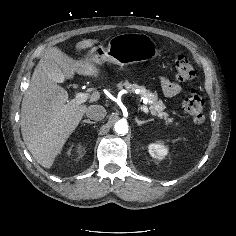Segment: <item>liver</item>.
Segmentation results:
<instances>
[{"instance_id":"6515ba94","label":"liver","mask_w":236,"mask_h":236,"mask_svg":"<svg viewBox=\"0 0 236 236\" xmlns=\"http://www.w3.org/2000/svg\"><path fill=\"white\" fill-rule=\"evenodd\" d=\"M98 40H82L75 45L81 52L91 48ZM51 62L63 71L64 78L71 79L75 73L98 78L100 70L88 55L74 60L58 47L45 51L37 64L21 105V132L25 145L34 159L44 168H51L69 136L80 123L87 110L85 104L73 106L68 102L67 91L53 81L48 73ZM100 93L94 91L89 102H96Z\"/></svg>"}]
</instances>
